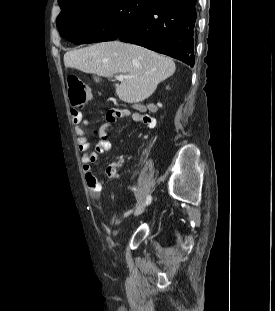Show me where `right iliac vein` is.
Instances as JSON below:
<instances>
[{
	"label": "right iliac vein",
	"mask_w": 275,
	"mask_h": 311,
	"mask_svg": "<svg viewBox=\"0 0 275 311\" xmlns=\"http://www.w3.org/2000/svg\"><path fill=\"white\" fill-rule=\"evenodd\" d=\"M144 209H145V205H139L138 207H137V209L135 210V212H134V215L135 216H139V215H141L142 214V212L144 211Z\"/></svg>",
	"instance_id": "63e3f726"
}]
</instances>
